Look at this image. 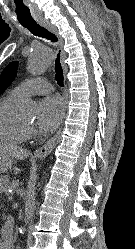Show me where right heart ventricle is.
Returning a JSON list of instances; mask_svg holds the SVG:
<instances>
[{
    "instance_id": "right-heart-ventricle-1",
    "label": "right heart ventricle",
    "mask_w": 135,
    "mask_h": 249,
    "mask_svg": "<svg viewBox=\"0 0 135 249\" xmlns=\"http://www.w3.org/2000/svg\"><path fill=\"white\" fill-rule=\"evenodd\" d=\"M21 100L11 92L0 101V143L2 144H19L28 136L16 112Z\"/></svg>"
}]
</instances>
